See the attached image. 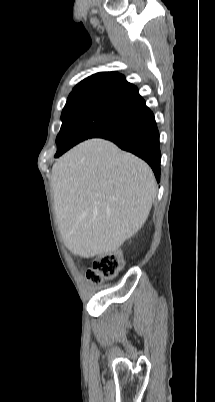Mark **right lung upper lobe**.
<instances>
[{
	"mask_svg": "<svg viewBox=\"0 0 215 402\" xmlns=\"http://www.w3.org/2000/svg\"><path fill=\"white\" fill-rule=\"evenodd\" d=\"M106 94L126 101L145 104L135 85L117 72H99L77 84L70 95Z\"/></svg>",
	"mask_w": 215,
	"mask_h": 402,
	"instance_id": "right-lung-upper-lobe-1",
	"label": "right lung upper lobe"
}]
</instances>
